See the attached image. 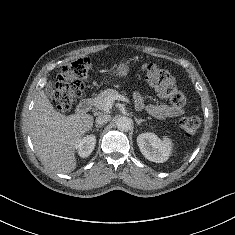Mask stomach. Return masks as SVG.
Wrapping results in <instances>:
<instances>
[{
  "label": "stomach",
  "mask_w": 235,
  "mask_h": 235,
  "mask_svg": "<svg viewBox=\"0 0 235 235\" xmlns=\"http://www.w3.org/2000/svg\"><path fill=\"white\" fill-rule=\"evenodd\" d=\"M129 70H130L129 63L128 62H121L114 70L113 76L114 77H125V76H127Z\"/></svg>",
  "instance_id": "1"
}]
</instances>
